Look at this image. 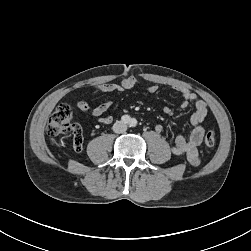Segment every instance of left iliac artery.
Instances as JSON below:
<instances>
[{
	"label": "left iliac artery",
	"mask_w": 251,
	"mask_h": 251,
	"mask_svg": "<svg viewBox=\"0 0 251 251\" xmlns=\"http://www.w3.org/2000/svg\"><path fill=\"white\" fill-rule=\"evenodd\" d=\"M129 124H130V127H135L137 125V120L133 118L130 120Z\"/></svg>",
	"instance_id": "44dca946"
}]
</instances>
